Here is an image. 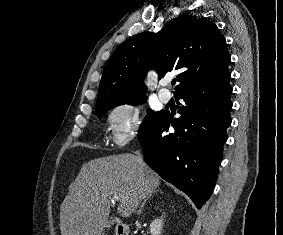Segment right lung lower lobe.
Returning <instances> with one entry per match:
<instances>
[{
    "label": "right lung lower lobe",
    "instance_id": "right-lung-lower-lobe-1",
    "mask_svg": "<svg viewBox=\"0 0 283 235\" xmlns=\"http://www.w3.org/2000/svg\"><path fill=\"white\" fill-rule=\"evenodd\" d=\"M230 73L186 86L176 92L184 103L181 117L161 112L138 136L145 162L164 180L185 192L198 209L215 186L222 147L231 124ZM169 126L175 129L168 131Z\"/></svg>",
    "mask_w": 283,
    "mask_h": 235
}]
</instances>
